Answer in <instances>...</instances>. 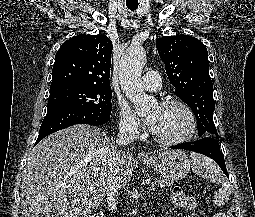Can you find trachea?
Returning <instances> with one entry per match:
<instances>
[{
    "label": "trachea",
    "instance_id": "3493384b",
    "mask_svg": "<svg viewBox=\"0 0 255 217\" xmlns=\"http://www.w3.org/2000/svg\"><path fill=\"white\" fill-rule=\"evenodd\" d=\"M128 9H130L131 11H135L138 8V4H130V3H126Z\"/></svg>",
    "mask_w": 255,
    "mask_h": 217
}]
</instances>
